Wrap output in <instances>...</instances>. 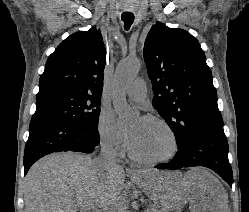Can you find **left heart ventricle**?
<instances>
[{
  "mask_svg": "<svg viewBox=\"0 0 249 212\" xmlns=\"http://www.w3.org/2000/svg\"><path fill=\"white\" fill-rule=\"evenodd\" d=\"M129 131L136 135V141L131 149L142 158H164L173 150V140L170 134L156 122L138 118L132 122Z\"/></svg>",
  "mask_w": 249,
  "mask_h": 212,
  "instance_id": "obj_1",
  "label": "left heart ventricle"
}]
</instances>
